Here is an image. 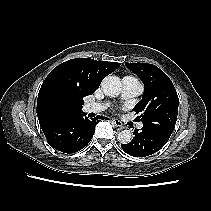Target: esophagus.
I'll return each mask as SVG.
<instances>
[{"instance_id":"34e87169","label":"esophagus","mask_w":211,"mask_h":211,"mask_svg":"<svg viewBox=\"0 0 211 211\" xmlns=\"http://www.w3.org/2000/svg\"><path fill=\"white\" fill-rule=\"evenodd\" d=\"M112 123H113L116 127H118V128H123V127H124L123 124H122V122L119 121L118 119H112Z\"/></svg>"}]
</instances>
